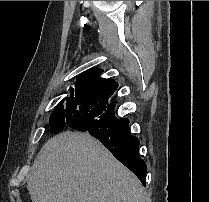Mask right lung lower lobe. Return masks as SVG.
Listing matches in <instances>:
<instances>
[{"label":"right lung lower lobe","mask_w":209,"mask_h":202,"mask_svg":"<svg viewBox=\"0 0 209 202\" xmlns=\"http://www.w3.org/2000/svg\"><path fill=\"white\" fill-rule=\"evenodd\" d=\"M117 88L113 79H93L80 92L79 112L66 124L97 138L146 186L147 166L139 156V140L130 133L129 120L116 118L115 105L108 103Z\"/></svg>","instance_id":"98d812e1"}]
</instances>
